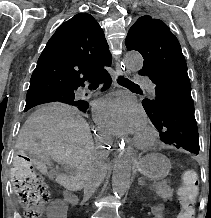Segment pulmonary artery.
Returning a JSON list of instances; mask_svg holds the SVG:
<instances>
[{
	"mask_svg": "<svg viewBox=\"0 0 211 218\" xmlns=\"http://www.w3.org/2000/svg\"><path fill=\"white\" fill-rule=\"evenodd\" d=\"M134 85H142L144 91H146V95H159V90H157L156 84H150V80H145V75H133ZM82 96L92 95L91 92L83 91L81 93Z\"/></svg>",
	"mask_w": 211,
	"mask_h": 218,
	"instance_id": "pulmonary-artery-1",
	"label": "pulmonary artery"
}]
</instances>
